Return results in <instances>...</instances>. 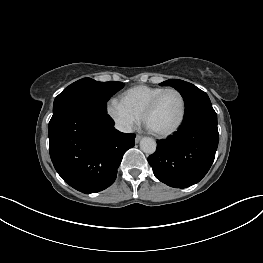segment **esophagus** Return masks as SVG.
<instances>
[{"label": "esophagus", "instance_id": "obj_1", "mask_svg": "<svg viewBox=\"0 0 263 263\" xmlns=\"http://www.w3.org/2000/svg\"><path fill=\"white\" fill-rule=\"evenodd\" d=\"M141 138H142L141 135H136L135 142L138 143L141 140Z\"/></svg>", "mask_w": 263, "mask_h": 263}]
</instances>
